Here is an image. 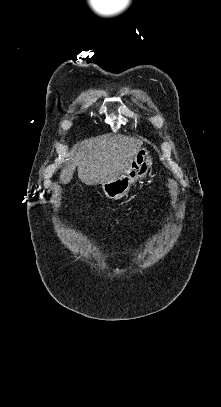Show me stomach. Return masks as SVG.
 Segmentation results:
<instances>
[{
  "instance_id": "1",
  "label": "stomach",
  "mask_w": 221,
  "mask_h": 407,
  "mask_svg": "<svg viewBox=\"0 0 221 407\" xmlns=\"http://www.w3.org/2000/svg\"><path fill=\"white\" fill-rule=\"evenodd\" d=\"M152 166V157L146 148H140L131 160L128 168L118 177L101 184L105 196L120 200L126 196L137 180L146 178Z\"/></svg>"
}]
</instances>
